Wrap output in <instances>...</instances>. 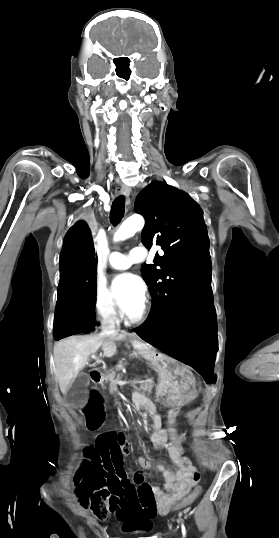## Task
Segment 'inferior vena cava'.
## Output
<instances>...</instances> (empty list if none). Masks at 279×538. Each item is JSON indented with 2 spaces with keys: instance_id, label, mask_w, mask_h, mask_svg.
<instances>
[{
  "instance_id": "obj_1",
  "label": "inferior vena cava",
  "mask_w": 279,
  "mask_h": 538,
  "mask_svg": "<svg viewBox=\"0 0 279 538\" xmlns=\"http://www.w3.org/2000/svg\"><path fill=\"white\" fill-rule=\"evenodd\" d=\"M115 314L116 312L114 310L106 311L105 316H104V321H106L105 324L106 323H111V324H106V326L103 327V330H104L103 333L108 334V335L110 334L113 335L115 334V331L117 332V330H115V324H114L115 322H113L114 319H116ZM116 323L117 325H119L117 320H116Z\"/></svg>"
}]
</instances>
